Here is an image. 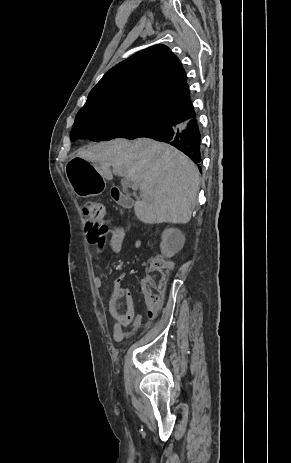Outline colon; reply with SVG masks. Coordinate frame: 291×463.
<instances>
[{
    "label": "colon",
    "mask_w": 291,
    "mask_h": 463,
    "mask_svg": "<svg viewBox=\"0 0 291 463\" xmlns=\"http://www.w3.org/2000/svg\"><path fill=\"white\" fill-rule=\"evenodd\" d=\"M105 207L96 201H86L83 204V214L87 220L88 229H100L105 218ZM171 268V263L162 257H152L146 264V276L144 278V291L146 295L147 315L155 317L161 306L163 293L166 284L167 273ZM121 290H117L115 297L122 295Z\"/></svg>",
    "instance_id": "5ec220e1"
}]
</instances>
